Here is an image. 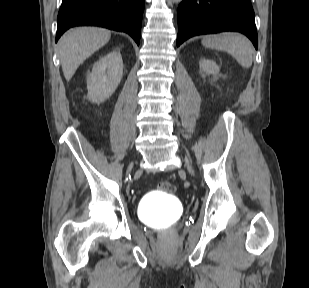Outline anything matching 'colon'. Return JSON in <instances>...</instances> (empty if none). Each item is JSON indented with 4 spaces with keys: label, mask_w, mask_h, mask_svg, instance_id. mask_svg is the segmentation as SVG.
<instances>
[{
    "label": "colon",
    "mask_w": 309,
    "mask_h": 288,
    "mask_svg": "<svg viewBox=\"0 0 309 288\" xmlns=\"http://www.w3.org/2000/svg\"><path fill=\"white\" fill-rule=\"evenodd\" d=\"M161 189L165 192L172 193L174 191V185L169 182H162Z\"/></svg>",
    "instance_id": "1"
}]
</instances>
